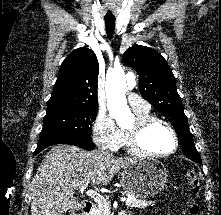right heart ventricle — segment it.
Wrapping results in <instances>:
<instances>
[{"label":"right heart ventricle","mask_w":221,"mask_h":215,"mask_svg":"<svg viewBox=\"0 0 221 215\" xmlns=\"http://www.w3.org/2000/svg\"><path fill=\"white\" fill-rule=\"evenodd\" d=\"M137 118H145L150 116L149 111H145V112H135ZM124 133V137H123V143L122 145L125 146L126 148H128L129 150V143H128V137H127V132H123Z\"/></svg>","instance_id":"right-heart-ventricle-1"}]
</instances>
